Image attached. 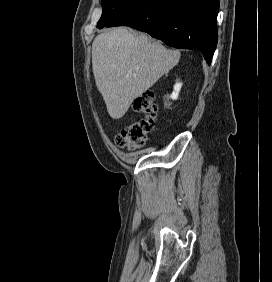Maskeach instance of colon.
Here are the masks:
<instances>
[{
    "mask_svg": "<svg viewBox=\"0 0 272 282\" xmlns=\"http://www.w3.org/2000/svg\"><path fill=\"white\" fill-rule=\"evenodd\" d=\"M133 110L144 115L124 127L115 137L120 148L137 150L141 148L155 130L157 104L153 93H145L133 102Z\"/></svg>",
    "mask_w": 272,
    "mask_h": 282,
    "instance_id": "obj_1",
    "label": "colon"
}]
</instances>
